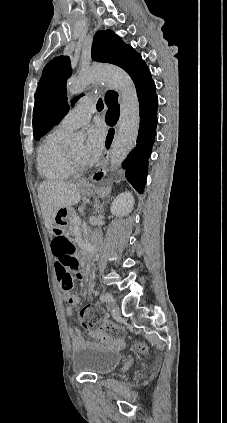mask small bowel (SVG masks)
I'll return each mask as SVG.
<instances>
[{"instance_id": "small-bowel-1", "label": "small bowel", "mask_w": 227, "mask_h": 423, "mask_svg": "<svg viewBox=\"0 0 227 423\" xmlns=\"http://www.w3.org/2000/svg\"><path fill=\"white\" fill-rule=\"evenodd\" d=\"M62 298L67 303L66 314L68 316H72L73 308L76 307L80 302L78 296L71 294V293H63ZM69 333H70V336H71V339H72V346H73L74 349H80V348H83L86 345V343H85V341H84V339L81 335V332L79 330L70 329ZM91 336L96 338V339H100L104 342L109 341L108 337L102 331H99V330L92 331Z\"/></svg>"}]
</instances>
